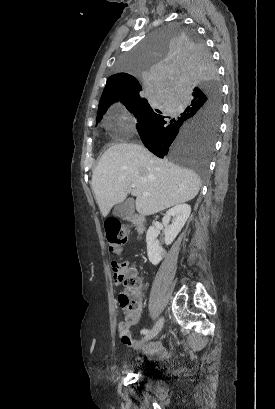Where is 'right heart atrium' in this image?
Masks as SVG:
<instances>
[{
  "label": "right heart atrium",
  "mask_w": 275,
  "mask_h": 409,
  "mask_svg": "<svg viewBox=\"0 0 275 409\" xmlns=\"http://www.w3.org/2000/svg\"><path fill=\"white\" fill-rule=\"evenodd\" d=\"M120 122L124 125V126H130L133 123V117L131 116V114L127 111H123L122 114L120 115ZM125 143V142H123Z\"/></svg>",
  "instance_id": "right-heart-atrium-1"
}]
</instances>
